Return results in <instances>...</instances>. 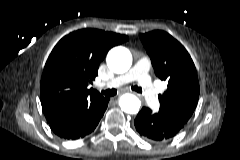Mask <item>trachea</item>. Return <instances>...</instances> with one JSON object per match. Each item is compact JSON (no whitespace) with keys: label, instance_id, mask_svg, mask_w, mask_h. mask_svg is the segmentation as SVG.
Returning a JSON list of instances; mask_svg holds the SVG:
<instances>
[{"label":"trachea","instance_id":"obj_1","mask_svg":"<svg viewBox=\"0 0 240 160\" xmlns=\"http://www.w3.org/2000/svg\"><path fill=\"white\" fill-rule=\"evenodd\" d=\"M132 90L138 92V93H142V89L138 86H133ZM103 95L111 97L117 94V90L116 89H108V90H104L101 92Z\"/></svg>","mask_w":240,"mask_h":160}]
</instances>
